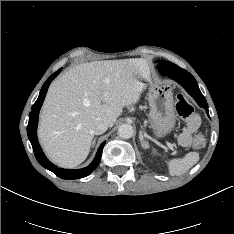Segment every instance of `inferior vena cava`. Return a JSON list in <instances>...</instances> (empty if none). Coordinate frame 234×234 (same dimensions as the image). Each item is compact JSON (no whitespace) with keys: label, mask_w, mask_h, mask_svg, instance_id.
<instances>
[{"label":"inferior vena cava","mask_w":234,"mask_h":234,"mask_svg":"<svg viewBox=\"0 0 234 234\" xmlns=\"http://www.w3.org/2000/svg\"><path fill=\"white\" fill-rule=\"evenodd\" d=\"M108 128V123L105 120L102 119H96L92 123L91 131L95 135H100L104 133Z\"/></svg>","instance_id":"602c4592"}]
</instances>
